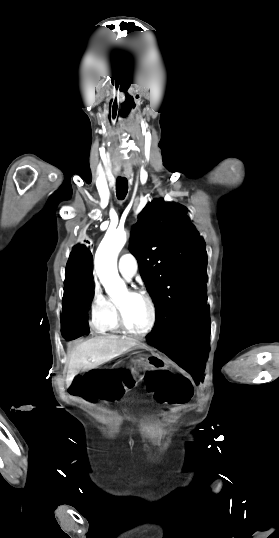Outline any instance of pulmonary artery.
<instances>
[{
	"label": "pulmonary artery",
	"mask_w": 279,
	"mask_h": 538,
	"mask_svg": "<svg viewBox=\"0 0 279 538\" xmlns=\"http://www.w3.org/2000/svg\"><path fill=\"white\" fill-rule=\"evenodd\" d=\"M118 270L128 280L135 275L137 266L131 255L124 254L120 256L118 259Z\"/></svg>",
	"instance_id": "pulmonary-artery-1"
}]
</instances>
